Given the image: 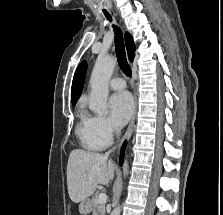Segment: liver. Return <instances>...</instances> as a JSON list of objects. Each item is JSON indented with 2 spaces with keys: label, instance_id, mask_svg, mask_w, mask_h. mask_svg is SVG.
Returning <instances> with one entry per match:
<instances>
[{
  "label": "liver",
  "instance_id": "obj_1",
  "mask_svg": "<svg viewBox=\"0 0 223 215\" xmlns=\"http://www.w3.org/2000/svg\"><path fill=\"white\" fill-rule=\"evenodd\" d=\"M114 177V163L95 151L73 149L68 157L67 185L70 199L79 203L94 193L98 183Z\"/></svg>",
  "mask_w": 223,
  "mask_h": 215
}]
</instances>
